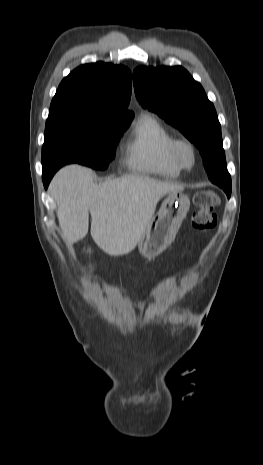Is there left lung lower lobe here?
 <instances>
[{
  "label": "left lung lower lobe",
  "mask_w": 263,
  "mask_h": 465,
  "mask_svg": "<svg viewBox=\"0 0 263 465\" xmlns=\"http://www.w3.org/2000/svg\"><path fill=\"white\" fill-rule=\"evenodd\" d=\"M204 160V165L207 170L208 176L212 182L216 181V172L215 169L218 167V161L215 157L211 155L202 156Z\"/></svg>",
  "instance_id": "left-lung-lower-lobe-1"
}]
</instances>
